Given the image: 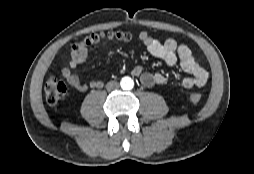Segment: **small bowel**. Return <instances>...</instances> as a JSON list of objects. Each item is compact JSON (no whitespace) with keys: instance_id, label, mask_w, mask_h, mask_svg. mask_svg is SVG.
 Returning a JSON list of instances; mask_svg holds the SVG:
<instances>
[{"instance_id":"c3829d8e","label":"small bowel","mask_w":254,"mask_h":174,"mask_svg":"<svg viewBox=\"0 0 254 174\" xmlns=\"http://www.w3.org/2000/svg\"><path fill=\"white\" fill-rule=\"evenodd\" d=\"M139 39L146 47L148 52L163 61L169 66L179 63L181 70L186 74L179 80L184 89H192L204 86L209 79L207 70L198 62L192 54L188 46L179 44L174 39H167L163 42L155 39L146 31L139 33ZM88 59L87 49L73 50L71 52L68 66L62 69V75L67 79L69 84L79 90L97 89L103 86L100 80H90L88 83H82L79 76L73 71L79 65ZM132 74L138 77L145 87H153L155 85H163L168 82V77L162 73L146 72L140 66L132 69Z\"/></svg>"}]
</instances>
